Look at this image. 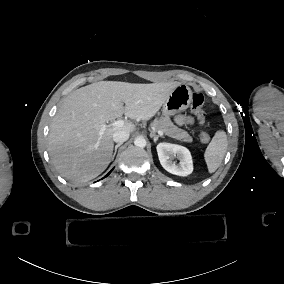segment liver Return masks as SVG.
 <instances>
[{"mask_svg": "<svg viewBox=\"0 0 284 284\" xmlns=\"http://www.w3.org/2000/svg\"><path fill=\"white\" fill-rule=\"evenodd\" d=\"M180 84L100 81L72 92L50 126L48 151L55 169L73 181L96 178L111 161L113 134L135 130L134 124L126 123L122 127H107L100 136L102 125L123 114L130 119L149 120Z\"/></svg>", "mask_w": 284, "mask_h": 284, "instance_id": "obj_1", "label": "liver"}]
</instances>
